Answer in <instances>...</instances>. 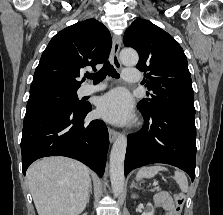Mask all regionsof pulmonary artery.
Listing matches in <instances>:
<instances>
[{
	"instance_id": "1",
	"label": "pulmonary artery",
	"mask_w": 223,
	"mask_h": 215,
	"mask_svg": "<svg viewBox=\"0 0 223 215\" xmlns=\"http://www.w3.org/2000/svg\"><path fill=\"white\" fill-rule=\"evenodd\" d=\"M121 74H124V78L127 83H136L142 77V69H121ZM106 87L105 84L100 83L96 85H87L84 88V94H91L93 92L100 91Z\"/></svg>"
}]
</instances>
